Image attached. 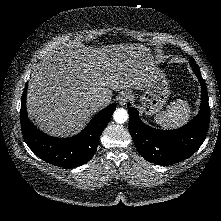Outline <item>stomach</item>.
Segmentation results:
<instances>
[{"label": "stomach", "instance_id": "0dacf381", "mask_svg": "<svg viewBox=\"0 0 221 221\" xmlns=\"http://www.w3.org/2000/svg\"><path fill=\"white\" fill-rule=\"evenodd\" d=\"M170 95V86L165 74L156 70L144 87L142 94L138 95L140 109L145 115H154L163 108Z\"/></svg>", "mask_w": 221, "mask_h": 221}]
</instances>
